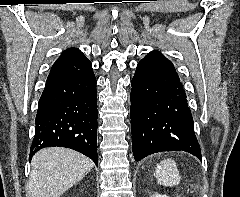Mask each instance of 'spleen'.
I'll return each instance as SVG.
<instances>
[{"label": "spleen", "instance_id": "1", "mask_svg": "<svg viewBox=\"0 0 240 197\" xmlns=\"http://www.w3.org/2000/svg\"><path fill=\"white\" fill-rule=\"evenodd\" d=\"M154 175L158 184L163 186H174L180 182L177 166L170 158L163 160L157 165Z\"/></svg>", "mask_w": 240, "mask_h": 197}]
</instances>
